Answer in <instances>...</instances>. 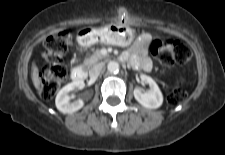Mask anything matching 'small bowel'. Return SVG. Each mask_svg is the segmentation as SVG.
Wrapping results in <instances>:
<instances>
[{"mask_svg":"<svg viewBox=\"0 0 225 155\" xmlns=\"http://www.w3.org/2000/svg\"><path fill=\"white\" fill-rule=\"evenodd\" d=\"M147 47L148 40L146 38L139 39L124 53L123 58L136 68L150 71L152 69V62L147 56Z\"/></svg>","mask_w":225,"mask_h":155,"instance_id":"small-bowel-1","label":"small bowel"}]
</instances>
